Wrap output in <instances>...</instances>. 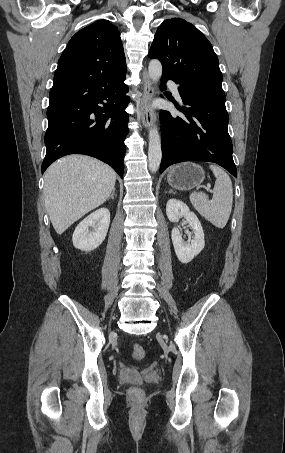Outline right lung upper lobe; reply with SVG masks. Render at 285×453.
Wrapping results in <instances>:
<instances>
[{
    "label": "right lung upper lobe",
    "instance_id": "1",
    "mask_svg": "<svg viewBox=\"0 0 285 453\" xmlns=\"http://www.w3.org/2000/svg\"><path fill=\"white\" fill-rule=\"evenodd\" d=\"M120 32L108 20H98L78 31L62 53L54 80L81 76L86 79L126 72Z\"/></svg>",
    "mask_w": 285,
    "mask_h": 453
}]
</instances>
